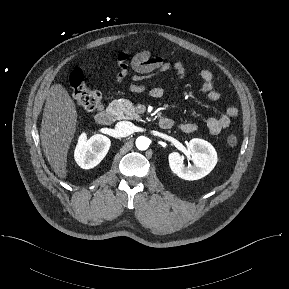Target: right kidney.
I'll return each instance as SVG.
<instances>
[{"label": "right kidney", "instance_id": "right-kidney-1", "mask_svg": "<svg viewBox=\"0 0 289 289\" xmlns=\"http://www.w3.org/2000/svg\"><path fill=\"white\" fill-rule=\"evenodd\" d=\"M110 145V139L104 135L95 134L87 139V135L82 133L75 148V161L81 168L91 169L103 160Z\"/></svg>", "mask_w": 289, "mask_h": 289}]
</instances>
